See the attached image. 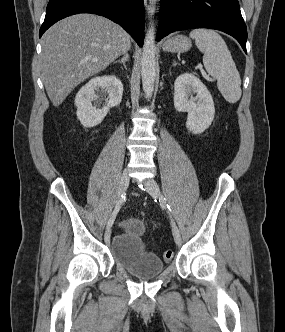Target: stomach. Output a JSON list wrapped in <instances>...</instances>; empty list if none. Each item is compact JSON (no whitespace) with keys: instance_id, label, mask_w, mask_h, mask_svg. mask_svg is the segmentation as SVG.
Returning a JSON list of instances; mask_svg holds the SVG:
<instances>
[{"instance_id":"obj_1","label":"stomach","mask_w":285,"mask_h":332,"mask_svg":"<svg viewBox=\"0 0 285 332\" xmlns=\"http://www.w3.org/2000/svg\"><path fill=\"white\" fill-rule=\"evenodd\" d=\"M192 44L189 38L184 35H177L167 39L163 43V50L167 52H186L191 48Z\"/></svg>"}]
</instances>
